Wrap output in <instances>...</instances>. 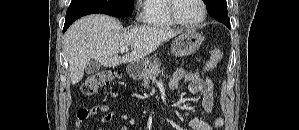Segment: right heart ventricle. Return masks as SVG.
Wrapping results in <instances>:
<instances>
[{"instance_id": "e07e8e85", "label": "right heart ventricle", "mask_w": 299, "mask_h": 130, "mask_svg": "<svg viewBox=\"0 0 299 130\" xmlns=\"http://www.w3.org/2000/svg\"><path fill=\"white\" fill-rule=\"evenodd\" d=\"M169 0H146L142 19L144 23L151 27L168 28L177 24L171 18L168 9Z\"/></svg>"}]
</instances>
